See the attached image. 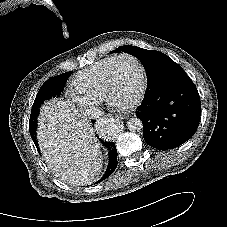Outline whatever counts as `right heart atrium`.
Here are the masks:
<instances>
[{"label": "right heart atrium", "instance_id": "1", "mask_svg": "<svg viewBox=\"0 0 227 227\" xmlns=\"http://www.w3.org/2000/svg\"><path fill=\"white\" fill-rule=\"evenodd\" d=\"M73 101L78 104L80 107L84 109H89L92 108L93 106L96 105V101H93L91 99L85 98L83 96L79 97H72Z\"/></svg>", "mask_w": 227, "mask_h": 227}]
</instances>
